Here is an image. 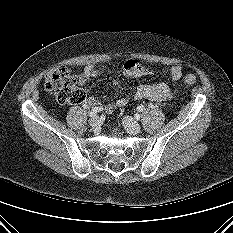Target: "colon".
Segmentation results:
<instances>
[{
    "label": "colon",
    "mask_w": 233,
    "mask_h": 233,
    "mask_svg": "<svg viewBox=\"0 0 233 233\" xmlns=\"http://www.w3.org/2000/svg\"><path fill=\"white\" fill-rule=\"evenodd\" d=\"M195 82L193 75L184 78V83L189 86ZM45 87L62 104H79L85 100L84 91L77 86L76 79L65 67L50 70L45 76Z\"/></svg>",
    "instance_id": "1"
}]
</instances>
